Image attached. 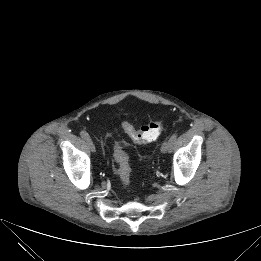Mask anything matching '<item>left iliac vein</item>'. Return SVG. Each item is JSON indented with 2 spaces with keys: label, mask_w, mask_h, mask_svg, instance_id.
<instances>
[{
  "label": "left iliac vein",
  "mask_w": 261,
  "mask_h": 261,
  "mask_svg": "<svg viewBox=\"0 0 261 261\" xmlns=\"http://www.w3.org/2000/svg\"><path fill=\"white\" fill-rule=\"evenodd\" d=\"M170 150V144L169 141H165L161 146V153H166Z\"/></svg>",
  "instance_id": "left-iliac-vein-1"
}]
</instances>
